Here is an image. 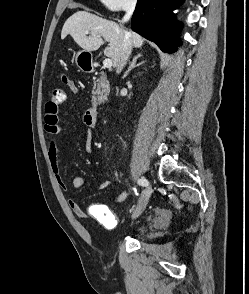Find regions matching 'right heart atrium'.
I'll return each mask as SVG.
<instances>
[{
	"label": "right heart atrium",
	"instance_id": "d8ad5b80",
	"mask_svg": "<svg viewBox=\"0 0 249 294\" xmlns=\"http://www.w3.org/2000/svg\"><path fill=\"white\" fill-rule=\"evenodd\" d=\"M101 3L109 10L119 11L133 8L137 0H100Z\"/></svg>",
	"mask_w": 249,
	"mask_h": 294
}]
</instances>
